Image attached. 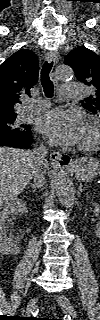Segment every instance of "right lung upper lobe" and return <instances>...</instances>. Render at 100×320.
Instances as JSON below:
<instances>
[{
	"label": "right lung upper lobe",
	"instance_id": "right-lung-upper-lobe-1",
	"mask_svg": "<svg viewBox=\"0 0 100 320\" xmlns=\"http://www.w3.org/2000/svg\"><path fill=\"white\" fill-rule=\"evenodd\" d=\"M38 60L31 50H19L0 66V119L16 117L14 105L29 95L38 78Z\"/></svg>",
	"mask_w": 100,
	"mask_h": 320
}]
</instances>
